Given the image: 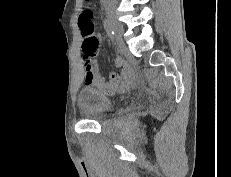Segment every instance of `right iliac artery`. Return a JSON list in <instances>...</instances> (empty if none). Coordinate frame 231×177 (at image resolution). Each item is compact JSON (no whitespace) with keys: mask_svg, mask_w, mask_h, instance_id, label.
I'll list each match as a JSON object with an SVG mask.
<instances>
[{"mask_svg":"<svg viewBox=\"0 0 231 177\" xmlns=\"http://www.w3.org/2000/svg\"><path fill=\"white\" fill-rule=\"evenodd\" d=\"M103 24H104V28L106 30V33L108 35V37L113 40L114 39V30H113V27L111 25V23L109 22L108 19H105L103 21Z\"/></svg>","mask_w":231,"mask_h":177,"instance_id":"obj_1","label":"right iliac artery"}]
</instances>
